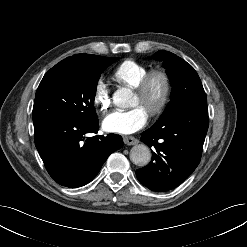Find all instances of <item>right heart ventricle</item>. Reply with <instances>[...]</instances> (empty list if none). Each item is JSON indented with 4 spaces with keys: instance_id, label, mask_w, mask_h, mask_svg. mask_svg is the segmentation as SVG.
I'll return each mask as SVG.
<instances>
[{
    "instance_id": "1",
    "label": "right heart ventricle",
    "mask_w": 247,
    "mask_h": 247,
    "mask_svg": "<svg viewBox=\"0 0 247 247\" xmlns=\"http://www.w3.org/2000/svg\"><path fill=\"white\" fill-rule=\"evenodd\" d=\"M149 67L135 60H125L113 71V79L125 86L135 88L149 72Z\"/></svg>"
}]
</instances>
